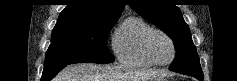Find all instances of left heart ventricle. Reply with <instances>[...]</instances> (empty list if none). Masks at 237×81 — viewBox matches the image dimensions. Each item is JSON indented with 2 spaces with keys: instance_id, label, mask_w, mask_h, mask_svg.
Returning <instances> with one entry per match:
<instances>
[{
  "instance_id": "1",
  "label": "left heart ventricle",
  "mask_w": 237,
  "mask_h": 81,
  "mask_svg": "<svg viewBox=\"0 0 237 81\" xmlns=\"http://www.w3.org/2000/svg\"><path fill=\"white\" fill-rule=\"evenodd\" d=\"M152 51L157 61L167 62L172 55L170 42L162 35H155L152 39Z\"/></svg>"
}]
</instances>
